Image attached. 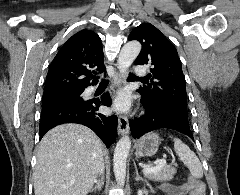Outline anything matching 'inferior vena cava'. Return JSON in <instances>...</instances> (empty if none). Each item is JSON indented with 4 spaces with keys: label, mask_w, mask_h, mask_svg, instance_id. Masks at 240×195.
I'll return each instance as SVG.
<instances>
[{
    "label": "inferior vena cava",
    "mask_w": 240,
    "mask_h": 195,
    "mask_svg": "<svg viewBox=\"0 0 240 195\" xmlns=\"http://www.w3.org/2000/svg\"><path fill=\"white\" fill-rule=\"evenodd\" d=\"M99 171H100V175H102L104 171V163H101ZM95 181H97V179H95Z\"/></svg>",
    "instance_id": "inferior-vena-cava-1"
}]
</instances>
